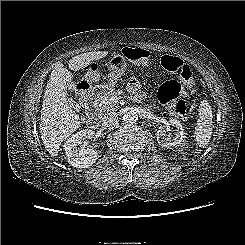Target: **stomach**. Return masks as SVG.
<instances>
[{
	"mask_svg": "<svg viewBox=\"0 0 245 245\" xmlns=\"http://www.w3.org/2000/svg\"><path fill=\"white\" fill-rule=\"evenodd\" d=\"M109 66L111 69L109 85L113 86L126 71V58L121 54H114L110 58ZM85 71L84 80H86L88 83L97 80V74L91 66H86Z\"/></svg>",
	"mask_w": 245,
	"mask_h": 245,
	"instance_id": "1",
	"label": "stomach"
}]
</instances>
